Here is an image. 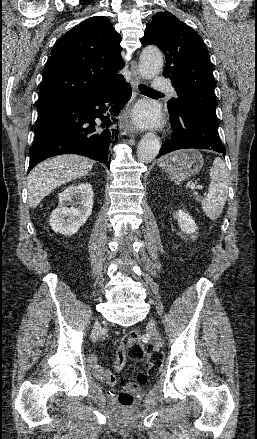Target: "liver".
<instances>
[{"mask_svg": "<svg viewBox=\"0 0 257 439\" xmlns=\"http://www.w3.org/2000/svg\"><path fill=\"white\" fill-rule=\"evenodd\" d=\"M93 161L79 155H59L36 166L28 176V201L36 208L42 199L62 184L85 176Z\"/></svg>", "mask_w": 257, "mask_h": 439, "instance_id": "liver-1", "label": "liver"}]
</instances>
